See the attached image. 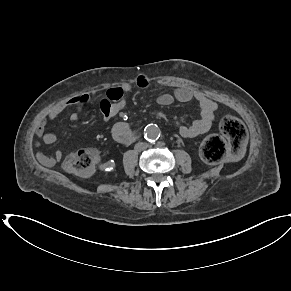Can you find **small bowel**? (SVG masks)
<instances>
[{
    "instance_id": "c3829d8e",
    "label": "small bowel",
    "mask_w": 291,
    "mask_h": 291,
    "mask_svg": "<svg viewBox=\"0 0 291 291\" xmlns=\"http://www.w3.org/2000/svg\"><path fill=\"white\" fill-rule=\"evenodd\" d=\"M135 84L140 88H147L149 86V79L145 75H139L135 79ZM131 89L132 84L124 82L111 87L106 92V96L100 102V110L104 121H109L125 107L126 96ZM174 100L180 102L194 100L200 108V117L191 124L178 122L179 133L182 137L193 138L209 131L218 113V106L212 99L208 98L201 91L186 86L177 88L173 94L163 93L157 97V103L161 106H169ZM89 101L90 96L88 94H81L58 104L39 122L35 129L36 136L41 138L45 144H55L57 142L56 135L45 132V125L54 121L65 110L71 107L75 108V110L70 114V120L78 123L80 121L81 107ZM112 134L114 139L120 144L127 145L136 140V133L124 121L117 122L113 125ZM63 156L64 153L60 149L55 152L53 158H48L42 153L37 154L39 161L43 164H50L53 161L60 162Z\"/></svg>"
}]
</instances>
